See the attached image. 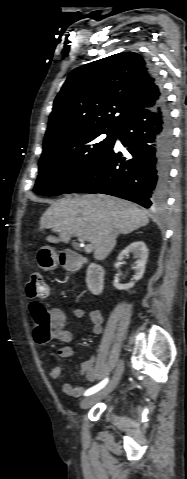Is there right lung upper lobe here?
<instances>
[{
  "label": "right lung upper lobe",
  "instance_id": "cb5924a9",
  "mask_svg": "<svg viewBox=\"0 0 187 479\" xmlns=\"http://www.w3.org/2000/svg\"><path fill=\"white\" fill-rule=\"evenodd\" d=\"M161 98L148 62L135 52L114 54L73 70L57 95L44 146L90 129H119Z\"/></svg>",
  "mask_w": 187,
  "mask_h": 479
}]
</instances>
